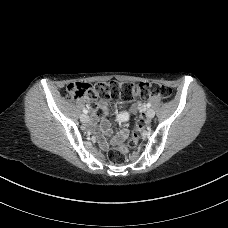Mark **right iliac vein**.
Instances as JSON below:
<instances>
[{
  "mask_svg": "<svg viewBox=\"0 0 228 228\" xmlns=\"http://www.w3.org/2000/svg\"><path fill=\"white\" fill-rule=\"evenodd\" d=\"M80 120H81V122H83V123H87V122L89 121V117H88L86 114H82V115L80 116Z\"/></svg>",
  "mask_w": 228,
  "mask_h": 228,
  "instance_id": "63e3f726",
  "label": "right iliac vein"
}]
</instances>
